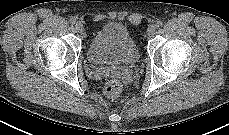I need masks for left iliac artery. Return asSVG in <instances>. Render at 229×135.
<instances>
[{
    "label": "left iliac artery",
    "instance_id": "1",
    "mask_svg": "<svg viewBox=\"0 0 229 135\" xmlns=\"http://www.w3.org/2000/svg\"><path fill=\"white\" fill-rule=\"evenodd\" d=\"M156 25H157V27H161L163 25V23L161 21H157Z\"/></svg>",
    "mask_w": 229,
    "mask_h": 135
}]
</instances>
